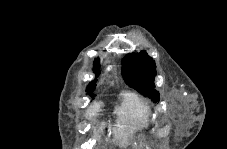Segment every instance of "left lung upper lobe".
Here are the masks:
<instances>
[{"instance_id": "left-lung-upper-lobe-1", "label": "left lung upper lobe", "mask_w": 227, "mask_h": 149, "mask_svg": "<svg viewBox=\"0 0 227 149\" xmlns=\"http://www.w3.org/2000/svg\"><path fill=\"white\" fill-rule=\"evenodd\" d=\"M122 76L126 84L154 102L159 101L154 78L156 65L145 51L127 54L122 61Z\"/></svg>"}]
</instances>
